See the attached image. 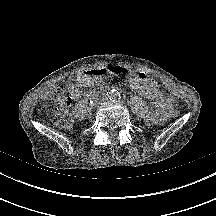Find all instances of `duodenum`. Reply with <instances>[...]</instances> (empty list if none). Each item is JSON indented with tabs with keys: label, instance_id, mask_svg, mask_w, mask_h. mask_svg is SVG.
I'll use <instances>...</instances> for the list:
<instances>
[{
	"label": "duodenum",
	"instance_id": "obj_1",
	"mask_svg": "<svg viewBox=\"0 0 216 216\" xmlns=\"http://www.w3.org/2000/svg\"><path fill=\"white\" fill-rule=\"evenodd\" d=\"M108 89L107 88H101L98 90V92L94 93V94H88L87 97H91V96H95L97 94H101V93H104L106 92Z\"/></svg>",
	"mask_w": 216,
	"mask_h": 216
}]
</instances>
